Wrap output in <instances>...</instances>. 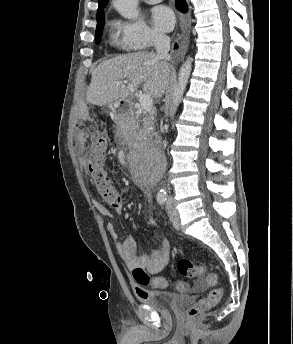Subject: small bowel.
I'll use <instances>...</instances> for the list:
<instances>
[{
  "instance_id": "obj_1",
  "label": "small bowel",
  "mask_w": 293,
  "mask_h": 344,
  "mask_svg": "<svg viewBox=\"0 0 293 344\" xmlns=\"http://www.w3.org/2000/svg\"><path fill=\"white\" fill-rule=\"evenodd\" d=\"M100 135H97L99 137ZM76 144L80 151H83L88 145L91 135L84 131H77L75 134ZM124 157V155H122ZM95 206L97 210L105 217H110L111 212L102 203L96 202ZM123 203L117 206L118 211H122ZM151 226H156L155 220H150ZM107 231L110 237L115 241L116 250L129 269L142 268L145 269L149 274L156 275L160 273L165 267L170 256V243L165 237H161L159 241V247L152 251L150 254L140 256L137 254L136 243L134 239L127 238L124 241H119V234L114 223L109 222L107 224ZM182 292L188 291V286L183 283V288L180 289ZM146 290L140 286L135 287V293L138 297L144 296Z\"/></svg>"
}]
</instances>
